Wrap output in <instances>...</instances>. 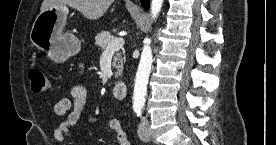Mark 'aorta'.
Returning <instances> with one entry per match:
<instances>
[{
	"mask_svg": "<svg viewBox=\"0 0 276 145\" xmlns=\"http://www.w3.org/2000/svg\"><path fill=\"white\" fill-rule=\"evenodd\" d=\"M164 0H152L151 1V17L152 19H156L159 15ZM143 50L141 53V58L138 66V70L135 78V87H134V95H133V105L134 107H141L145 103V95L147 92V84L149 75L152 67V49H151V39L146 37L143 41Z\"/></svg>",
	"mask_w": 276,
	"mask_h": 145,
	"instance_id": "aorta-1",
	"label": "aorta"
}]
</instances>
